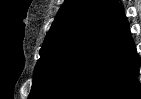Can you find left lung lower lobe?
<instances>
[{
	"mask_svg": "<svg viewBox=\"0 0 141 99\" xmlns=\"http://www.w3.org/2000/svg\"><path fill=\"white\" fill-rule=\"evenodd\" d=\"M140 63L118 5L38 99H141Z\"/></svg>",
	"mask_w": 141,
	"mask_h": 99,
	"instance_id": "1",
	"label": "left lung lower lobe"
}]
</instances>
